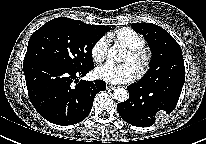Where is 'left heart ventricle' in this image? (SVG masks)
<instances>
[{
	"label": "left heart ventricle",
	"instance_id": "obj_1",
	"mask_svg": "<svg viewBox=\"0 0 206 144\" xmlns=\"http://www.w3.org/2000/svg\"><path fill=\"white\" fill-rule=\"evenodd\" d=\"M124 61L125 62H130V63H132L135 66V64L133 63L129 53L126 54V56L124 58Z\"/></svg>",
	"mask_w": 206,
	"mask_h": 144
}]
</instances>
